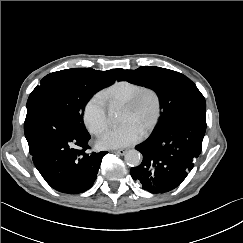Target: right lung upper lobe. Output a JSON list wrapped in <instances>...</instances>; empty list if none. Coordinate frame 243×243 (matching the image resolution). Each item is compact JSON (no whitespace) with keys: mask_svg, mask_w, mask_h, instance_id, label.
Wrapping results in <instances>:
<instances>
[{"mask_svg":"<svg viewBox=\"0 0 243 243\" xmlns=\"http://www.w3.org/2000/svg\"><path fill=\"white\" fill-rule=\"evenodd\" d=\"M79 71L109 79L112 83L123 72V69H112L107 71H96L90 68H79Z\"/></svg>","mask_w":243,"mask_h":243,"instance_id":"obj_1","label":"right lung upper lobe"}]
</instances>
